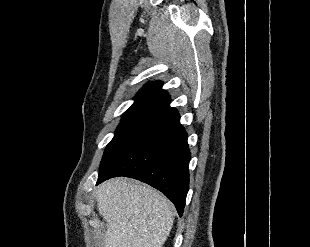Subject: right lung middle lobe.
Listing matches in <instances>:
<instances>
[{
	"label": "right lung middle lobe",
	"mask_w": 310,
	"mask_h": 247,
	"mask_svg": "<svg viewBox=\"0 0 310 247\" xmlns=\"http://www.w3.org/2000/svg\"><path fill=\"white\" fill-rule=\"evenodd\" d=\"M157 113L152 110L132 109L127 110L115 132V136L106 146L100 168L106 165L126 142L139 131Z\"/></svg>",
	"instance_id": "obj_1"
}]
</instances>
